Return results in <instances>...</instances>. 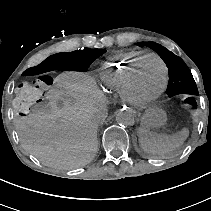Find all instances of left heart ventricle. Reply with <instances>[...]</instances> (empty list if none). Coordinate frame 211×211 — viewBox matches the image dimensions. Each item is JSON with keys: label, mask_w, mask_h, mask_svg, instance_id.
Instances as JSON below:
<instances>
[{"label": "left heart ventricle", "mask_w": 211, "mask_h": 211, "mask_svg": "<svg viewBox=\"0 0 211 211\" xmlns=\"http://www.w3.org/2000/svg\"><path fill=\"white\" fill-rule=\"evenodd\" d=\"M163 72L160 64L154 59L145 60L138 69L135 79L136 92L141 97L154 95L160 89Z\"/></svg>", "instance_id": "left-heart-ventricle-1"}]
</instances>
